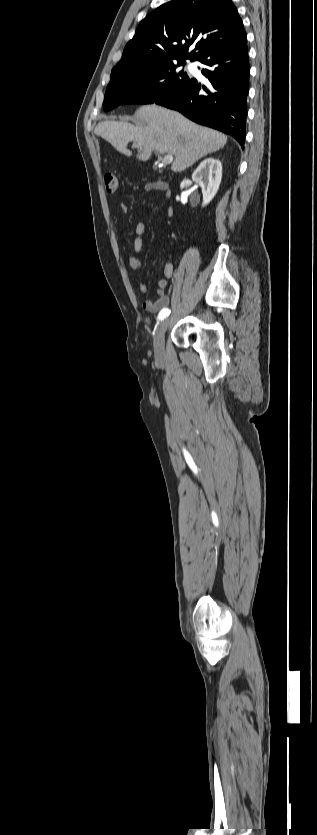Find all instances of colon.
<instances>
[{
    "label": "colon",
    "mask_w": 317,
    "mask_h": 835,
    "mask_svg": "<svg viewBox=\"0 0 317 835\" xmlns=\"http://www.w3.org/2000/svg\"><path fill=\"white\" fill-rule=\"evenodd\" d=\"M104 183H105L106 190L109 193H114L115 191H117V189L119 187V179L113 173H108V174L105 175Z\"/></svg>",
    "instance_id": "5ec220e1"
}]
</instances>
